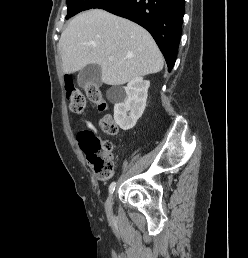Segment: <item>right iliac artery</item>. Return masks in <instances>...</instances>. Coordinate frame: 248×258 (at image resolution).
Returning a JSON list of instances; mask_svg holds the SVG:
<instances>
[{"label":"right iliac artery","mask_w":248,"mask_h":258,"mask_svg":"<svg viewBox=\"0 0 248 258\" xmlns=\"http://www.w3.org/2000/svg\"><path fill=\"white\" fill-rule=\"evenodd\" d=\"M116 182H112L109 186V193L112 194L115 190Z\"/></svg>","instance_id":"1"}]
</instances>
